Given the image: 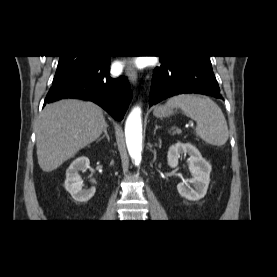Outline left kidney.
Instances as JSON below:
<instances>
[{
  "instance_id": "left-kidney-1",
  "label": "left kidney",
  "mask_w": 277,
  "mask_h": 277,
  "mask_svg": "<svg viewBox=\"0 0 277 277\" xmlns=\"http://www.w3.org/2000/svg\"><path fill=\"white\" fill-rule=\"evenodd\" d=\"M188 154L189 170L193 178L180 182L177 185L179 194L190 200L197 201L203 198L210 183L211 165L200 154L198 149L190 143L177 142L169 147L167 154V162L171 168L178 166V159L182 155ZM192 184L194 188H191Z\"/></svg>"
}]
</instances>
